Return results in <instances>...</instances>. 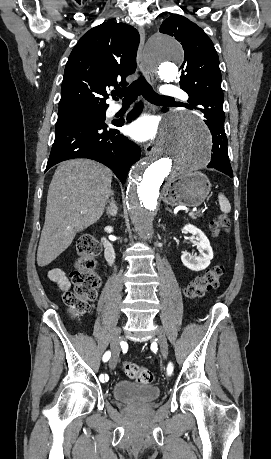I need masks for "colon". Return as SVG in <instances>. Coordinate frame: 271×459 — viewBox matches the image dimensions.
<instances>
[{
    "label": "colon",
    "mask_w": 271,
    "mask_h": 459,
    "mask_svg": "<svg viewBox=\"0 0 271 459\" xmlns=\"http://www.w3.org/2000/svg\"><path fill=\"white\" fill-rule=\"evenodd\" d=\"M210 226L214 234L218 235L228 230L229 220L225 215H220L210 222ZM76 250L78 258L71 273L73 290L65 292L63 300L72 316L80 318L90 311L91 302L96 298L100 286V277L96 271L100 245L92 234L83 232L77 239ZM223 273L222 266L212 267L189 283L185 289L186 296L191 299L200 298L207 291L217 288ZM123 369L129 378L139 383L149 384L153 380L150 370L130 361L123 363Z\"/></svg>",
    "instance_id": "obj_1"
}]
</instances>
